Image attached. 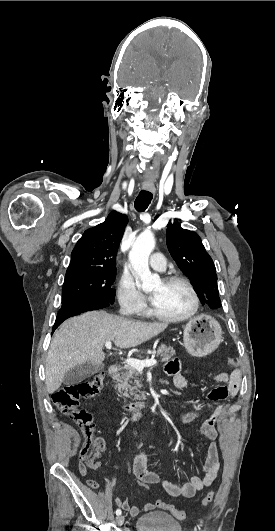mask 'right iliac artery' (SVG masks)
I'll return each instance as SVG.
<instances>
[{"instance_id":"1","label":"right iliac artery","mask_w":275,"mask_h":531,"mask_svg":"<svg viewBox=\"0 0 275 531\" xmlns=\"http://www.w3.org/2000/svg\"><path fill=\"white\" fill-rule=\"evenodd\" d=\"M116 515H118V516L121 515V510L120 509L116 510Z\"/></svg>"}]
</instances>
